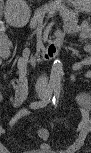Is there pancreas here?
Segmentation results:
<instances>
[{"label": "pancreas", "instance_id": "cf45deb5", "mask_svg": "<svg viewBox=\"0 0 91 153\" xmlns=\"http://www.w3.org/2000/svg\"><path fill=\"white\" fill-rule=\"evenodd\" d=\"M58 11L62 13L63 19L70 29H74L77 26L78 19L76 14L70 12L63 5H59L58 3H50L48 5L43 6L35 12L34 17L31 19L30 27L35 28L37 26H42L43 19L46 13H49V15H53L55 12Z\"/></svg>", "mask_w": 91, "mask_h": 153}]
</instances>
